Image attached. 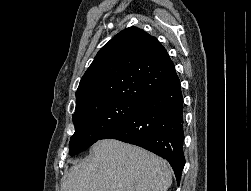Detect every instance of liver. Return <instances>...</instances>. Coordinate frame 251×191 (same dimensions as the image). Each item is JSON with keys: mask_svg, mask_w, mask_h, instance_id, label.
I'll list each match as a JSON object with an SVG mask.
<instances>
[{"mask_svg": "<svg viewBox=\"0 0 251 191\" xmlns=\"http://www.w3.org/2000/svg\"><path fill=\"white\" fill-rule=\"evenodd\" d=\"M90 151L70 167L61 191H167L172 183L167 161L137 145L100 139Z\"/></svg>", "mask_w": 251, "mask_h": 191, "instance_id": "6515ba94", "label": "liver"}]
</instances>
